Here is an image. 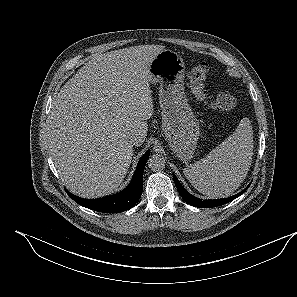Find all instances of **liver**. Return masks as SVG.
Wrapping results in <instances>:
<instances>
[{
    "label": "liver",
    "mask_w": 297,
    "mask_h": 297,
    "mask_svg": "<svg viewBox=\"0 0 297 297\" xmlns=\"http://www.w3.org/2000/svg\"><path fill=\"white\" fill-rule=\"evenodd\" d=\"M161 45H139L91 58L58 93L48 121L52 159L65 186L85 198L108 195L123 182L133 148L153 115L150 63Z\"/></svg>",
    "instance_id": "obj_1"
}]
</instances>
